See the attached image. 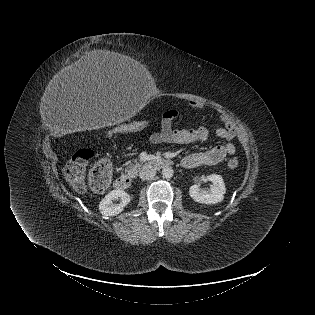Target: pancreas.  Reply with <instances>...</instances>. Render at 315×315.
Here are the masks:
<instances>
[{"label": "pancreas", "instance_id": "1", "mask_svg": "<svg viewBox=\"0 0 315 315\" xmlns=\"http://www.w3.org/2000/svg\"><path fill=\"white\" fill-rule=\"evenodd\" d=\"M127 164H128L127 168L130 171H136L141 167V163L137 162V160H135L134 162L129 161Z\"/></svg>", "mask_w": 315, "mask_h": 315}]
</instances>
